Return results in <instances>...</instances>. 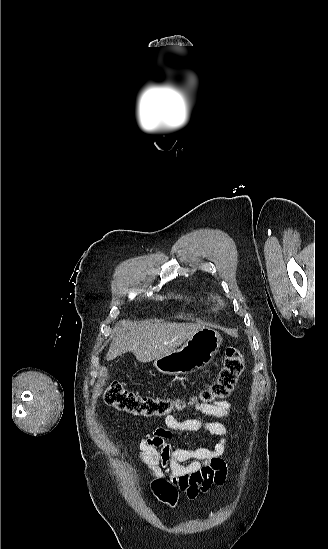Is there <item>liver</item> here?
Returning a JSON list of instances; mask_svg holds the SVG:
<instances>
[{
  "mask_svg": "<svg viewBox=\"0 0 328 549\" xmlns=\"http://www.w3.org/2000/svg\"><path fill=\"white\" fill-rule=\"evenodd\" d=\"M200 329L202 323H161L158 319L134 323L119 321L106 359L113 361L130 351L140 363H150L154 359L174 353Z\"/></svg>",
  "mask_w": 328,
  "mask_h": 549,
  "instance_id": "6515ba94",
  "label": "liver"
}]
</instances>
